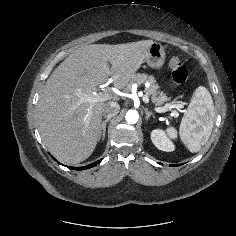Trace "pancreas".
I'll list each match as a JSON object with an SVG mask.
<instances>
[{
	"label": "pancreas",
	"mask_w": 236,
	"mask_h": 236,
	"mask_svg": "<svg viewBox=\"0 0 236 236\" xmlns=\"http://www.w3.org/2000/svg\"><path fill=\"white\" fill-rule=\"evenodd\" d=\"M148 82L150 86L146 88V95L151 96L152 102L155 105H163L168 99V97L161 91H159V86L156 84V81L153 76L147 74H135L132 78V83L143 84Z\"/></svg>",
	"instance_id": "cf45deb5"
}]
</instances>
